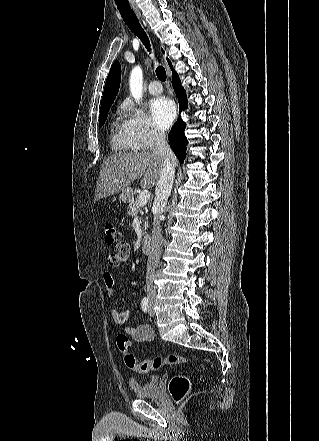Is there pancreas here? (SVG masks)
<instances>
[{"instance_id": "1", "label": "pancreas", "mask_w": 319, "mask_h": 441, "mask_svg": "<svg viewBox=\"0 0 319 441\" xmlns=\"http://www.w3.org/2000/svg\"><path fill=\"white\" fill-rule=\"evenodd\" d=\"M143 209H144V205L140 204L139 198H137L129 203V206L127 208V214L132 217L137 216L139 214L141 215L143 213ZM147 227H148V222H145L143 230H146Z\"/></svg>"}]
</instances>
